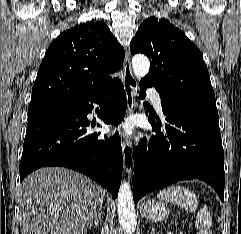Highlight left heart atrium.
<instances>
[{"instance_id": "obj_1", "label": "left heart atrium", "mask_w": 241, "mask_h": 234, "mask_svg": "<svg viewBox=\"0 0 241 234\" xmlns=\"http://www.w3.org/2000/svg\"><path fill=\"white\" fill-rule=\"evenodd\" d=\"M133 123L132 121H126L125 123H123L121 125V129H122V132L125 134V135H131L133 133Z\"/></svg>"}]
</instances>
